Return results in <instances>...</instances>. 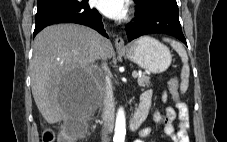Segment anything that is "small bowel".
I'll use <instances>...</instances> for the list:
<instances>
[{
    "instance_id": "1",
    "label": "small bowel",
    "mask_w": 227,
    "mask_h": 142,
    "mask_svg": "<svg viewBox=\"0 0 227 142\" xmlns=\"http://www.w3.org/2000/svg\"><path fill=\"white\" fill-rule=\"evenodd\" d=\"M164 100L167 99V93L163 95ZM151 99L152 91L147 90L141 95V103L147 105L149 110L151 108ZM176 108L178 113L172 107H167L164 113H160L156 109L151 110L152 118L155 122L161 123L164 125V133L169 136L172 142H190L188 136V130L190 127L189 114L185 103L179 101L176 103ZM178 115L179 127L176 131L174 128V121ZM151 130L145 128L140 133V139L135 140L134 142H146L150 137Z\"/></svg>"
}]
</instances>
